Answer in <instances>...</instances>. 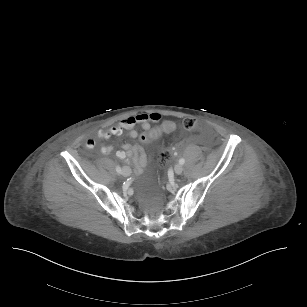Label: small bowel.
Returning <instances> with one entry per match:
<instances>
[{
  "label": "small bowel",
  "mask_w": 307,
  "mask_h": 307,
  "mask_svg": "<svg viewBox=\"0 0 307 307\" xmlns=\"http://www.w3.org/2000/svg\"><path fill=\"white\" fill-rule=\"evenodd\" d=\"M161 119V115L156 112L152 113H139L136 115H131L124 118L117 125L110 127L107 130H100L97 132L96 136L98 138L108 139L113 136H120L124 132H127V135L136 139L139 135L134 130L136 125H140L142 129L151 127L152 123H156ZM162 123H165L170 128V131L173 132L176 128V125L173 121L165 120ZM95 141L93 139H88L85 142L87 148H93ZM113 151L111 145H104L101 147V152L103 154H110ZM116 156L121 160L128 159L131 165L138 171L144 169L150 162L151 157L146 154L144 148L140 144H125L120 150L116 152Z\"/></svg>",
  "instance_id": "obj_1"
}]
</instances>
